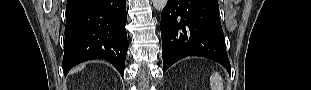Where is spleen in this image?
Returning a JSON list of instances; mask_svg holds the SVG:
<instances>
[{
    "mask_svg": "<svg viewBox=\"0 0 311 90\" xmlns=\"http://www.w3.org/2000/svg\"><path fill=\"white\" fill-rule=\"evenodd\" d=\"M210 86L211 90H224L223 80L218 73L214 72L210 76Z\"/></svg>",
    "mask_w": 311,
    "mask_h": 90,
    "instance_id": "1",
    "label": "spleen"
}]
</instances>
